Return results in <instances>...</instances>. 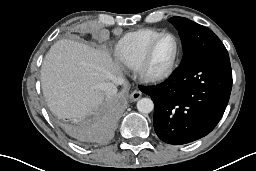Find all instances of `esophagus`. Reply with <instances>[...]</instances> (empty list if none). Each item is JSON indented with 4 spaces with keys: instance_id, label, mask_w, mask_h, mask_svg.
I'll return each instance as SVG.
<instances>
[{
    "instance_id": "esophagus-1",
    "label": "esophagus",
    "mask_w": 256,
    "mask_h": 171,
    "mask_svg": "<svg viewBox=\"0 0 256 171\" xmlns=\"http://www.w3.org/2000/svg\"><path fill=\"white\" fill-rule=\"evenodd\" d=\"M142 96L141 91L139 90H134L131 95H130V99L131 101H137L138 99H140Z\"/></svg>"
}]
</instances>
